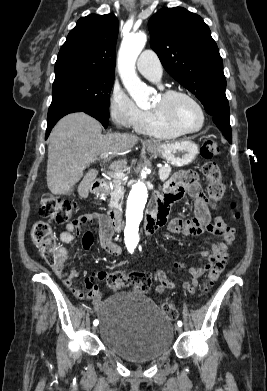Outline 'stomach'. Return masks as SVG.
<instances>
[{
    "mask_svg": "<svg viewBox=\"0 0 267 391\" xmlns=\"http://www.w3.org/2000/svg\"><path fill=\"white\" fill-rule=\"evenodd\" d=\"M147 150L162 156L176 167L189 165L199 153L198 145L191 140H182L168 144L155 142L153 146H147Z\"/></svg>",
    "mask_w": 267,
    "mask_h": 391,
    "instance_id": "0dacf381",
    "label": "stomach"
}]
</instances>
